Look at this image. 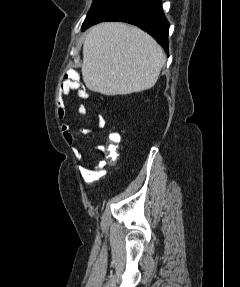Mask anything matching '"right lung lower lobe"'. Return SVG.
<instances>
[{
    "label": "right lung lower lobe",
    "mask_w": 240,
    "mask_h": 287,
    "mask_svg": "<svg viewBox=\"0 0 240 287\" xmlns=\"http://www.w3.org/2000/svg\"><path fill=\"white\" fill-rule=\"evenodd\" d=\"M103 21L136 25L153 36L168 53L169 23L161 0H110L87 27Z\"/></svg>",
    "instance_id": "98d812e1"
}]
</instances>
